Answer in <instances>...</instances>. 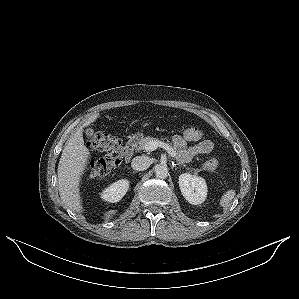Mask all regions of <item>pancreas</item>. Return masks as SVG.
Returning a JSON list of instances; mask_svg holds the SVG:
<instances>
[{
	"mask_svg": "<svg viewBox=\"0 0 299 299\" xmlns=\"http://www.w3.org/2000/svg\"><path fill=\"white\" fill-rule=\"evenodd\" d=\"M151 141H159V140L156 139V138L150 137V136L141 138V139L139 140V142H138L137 149H138V150H144V149H145V146H146L149 142H151Z\"/></svg>",
	"mask_w": 299,
	"mask_h": 299,
	"instance_id": "obj_1",
	"label": "pancreas"
}]
</instances>
